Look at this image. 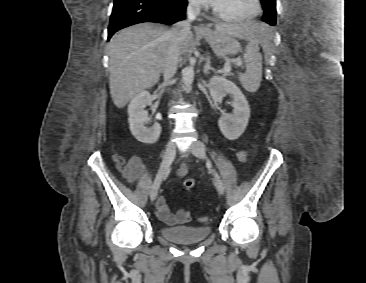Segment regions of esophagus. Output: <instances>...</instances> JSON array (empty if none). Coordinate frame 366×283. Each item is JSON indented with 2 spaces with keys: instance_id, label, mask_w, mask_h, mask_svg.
Listing matches in <instances>:
<instances>
[{
  "instance_id": "34e87169",
  "label": "esophagus",
  "mask_w": 366,
  "mask_h": 283,
  "mask_svg": "<svg viewBox=\"0 0 366 283\" xmlns=\"http://www.w3.org/2000/svg\"><path fill=\"white\" fill-rule=\"evenodd\" d=\"M198 29L200 30V31H204V32H206V31H208L209 29H208V27H206L204 24H199L198 25Z\"/></svg>"
}]
</instances>
